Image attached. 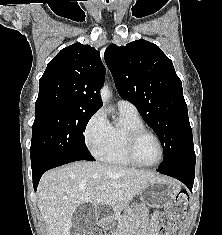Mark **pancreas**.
Masks as SVG:
<instances>
[{
    "label": "pancreas",
    "mask_w": 222,
    "mask_h": 235,
    "mask_svg": "<svg viewBox=\"0 0 222 235\" xmlns=\"http://www.w3.org/2000/svg\"><path fill=\"white\" fill-rule=\"evenodd\" d=\"M122 207H123V204H119L114 207V214L116 217H118L120 215V211H121Z\"/></svg>",
    "instance_id": "obj_1"
}]
</instances>
